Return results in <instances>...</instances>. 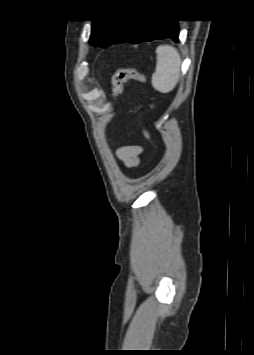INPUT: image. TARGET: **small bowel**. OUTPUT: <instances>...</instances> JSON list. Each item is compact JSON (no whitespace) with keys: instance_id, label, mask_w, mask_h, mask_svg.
Masks as SVG:
<instances>
[{"instance_id":"1","label":"small bowel","mask_w":254,"mask_h":355,"mask_svg":"<svg viewBox=\"0 0 254 355\" xmlns=\"http://www.w3.org/2000/svg\"><path fill=\"white\" fill-rule=\"evenodd\" d=\"M143 148L139 145H127L118 149L117 156L128 168L136 167L139 164Z\"/></svg>"}]
</instances>
